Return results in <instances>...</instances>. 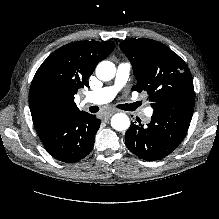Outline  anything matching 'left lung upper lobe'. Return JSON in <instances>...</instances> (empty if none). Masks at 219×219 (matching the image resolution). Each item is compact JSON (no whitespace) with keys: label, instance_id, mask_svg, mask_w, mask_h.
<instances>
[{"label":"left lung upper lobe","instance_id":"1","mask_svg":"<svg viewBox=\"0 0 219 219\" xmlns=\"http://www.w3.org/2000/svg\"><path fill=\"white\" fill-rule=\"evenodd\" d=\"M120 48L132 64L137 84L146 91L154 112L194 108V87L187 64L169 47L151 39L125 40Z\"/></svg>","mask_w":219,"mask_h":219}]
</instances>
